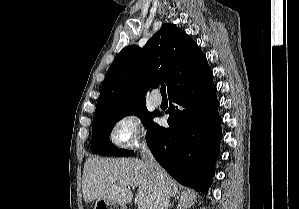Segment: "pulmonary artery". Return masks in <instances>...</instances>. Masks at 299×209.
I'll return each mask as SVG.
<instances>
[{
	"mask_svg": "<svg viewBox=\"0 0 299 209\" xmlns=\"http://www.w3.org/2000/svg\"><path fill=\"white\" fill-rule=\"evenodd\" d=\"M150 101L153 106L158 107L161 105V98L158 96L157 91H153V93L150 96Z\"/></svg>",
	"mask_w": 299,
	"mask_h": 209,
	"instance_id": "1",
	"label": "pulmonary artery"
}]
</instances>
